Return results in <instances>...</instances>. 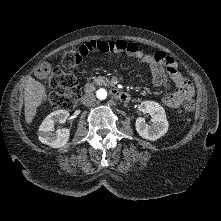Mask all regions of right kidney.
<instances>
[{
    "instance_id": "right-kidney-1",
    "label": "right kidney",
    "mask_w": 221,
    "mask_h": 221,
    "mask_svg": "<svg viewBox=\"0 0 221 221\" xmlns=\"http://www.w3.org/2000/svg\"><path fill=\"white\" fill-rule=\"evenodd\" d=\"M69 117V112L66 110H57L50 113L41 123L39 127V141L53 148L64 146L70 137L69 129H58L54 131L55 123H65Z\"/></svg>"
}]
</instances>
